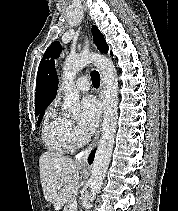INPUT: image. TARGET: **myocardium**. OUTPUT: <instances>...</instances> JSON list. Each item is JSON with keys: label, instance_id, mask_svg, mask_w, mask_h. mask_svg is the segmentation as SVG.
Masks as SVG:
<instances>
[{"label": "myocardium", "instance_id": "myocardium-1", "mask_svg": "<svg viewBox=\"0 0 178 211\" xmlns=\"http://www.w3.org/2000/svg\"><path fill=\"white\" fill-rule=\"evenodd\" d=\"M83 139H81V138H78L77 140H75L74 142H73V144H77V145H80V144H82L83 143Z\"/></svg>", "mask_w": 178, "mask_h": 211}]
</instances>
